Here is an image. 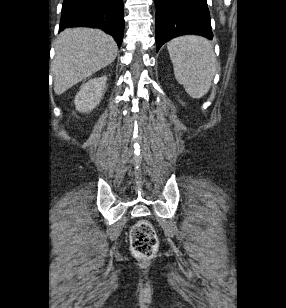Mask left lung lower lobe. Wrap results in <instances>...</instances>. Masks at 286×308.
Segmentation results:
<instances>
[{
  "label": "left lung lower lobe",
  "instance_id": "0a47b994",
  "mask_svg": "<svg viewBox=\"0 0 286 308\" xmlns=\"http://www.w3.org/2000/svg\"><path fill=\"white\" fill-rule=\"evenodd\" d=\"M157 51L170 39L185 35L213 38L207 0H155Z\"/></svg>",
  "mask_w": 286,
  "mask_h": 308
}]
</instances>
